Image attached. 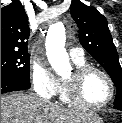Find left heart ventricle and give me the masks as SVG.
Masks as SVG:
<instances>
[{"label": "left heart ventricle", "instance_id": "left-heart-ventricle-1", "mask_svg": "<svg viewBox=\"0 0 122 123\" xmlns=\"http://www.w3.org/2000/svg\"><path fill=\"white\" fill-rule=\"evenodd\" d=\"M82 95L92 103L104 102L110 95L109 84L102 75L93 72L86 77L83 83Z\"/></svg>", "mask_w": 122, "mask_h": 123}]
</instances>
